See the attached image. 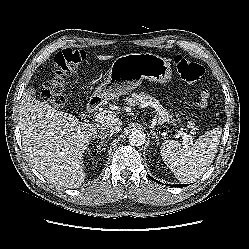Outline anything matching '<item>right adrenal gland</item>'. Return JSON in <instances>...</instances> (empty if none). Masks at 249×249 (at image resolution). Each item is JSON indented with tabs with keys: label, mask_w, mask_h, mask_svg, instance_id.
Returning <instances> with one entry per match:
<instances>
[{
	"label": "right adrenal gland",
	"mask_w": 249,
	"mask_h": 249,
	"mask_svg": "<svg viewBox=\"0 0 249 249\" xmlns=\"http://www.w3.org/2000/svg\"><path fill=\"white\" fill-rule=\"evenodd\" d=\"M108 136H112L110 134H102V135H96L95 138H99L101 139V142L99 145H97V148H100V146L104 143L105 138H107Z\"/></svg>",
	"instance_id": "obj_1"
}]
</instances>
